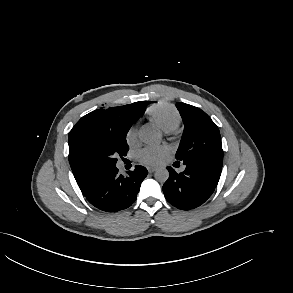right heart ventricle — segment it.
<instances>
[{"instance_id": "1", "label": "right heart ventricle", "mask_w": 293, "mask_h": 293, "mask_svg": "<svg viewBox=\"0 0 293 293\" xmlns=\"http://www.w3.org/2000/svg\"><path fill=\"white\" fill-rule=\"evenodd\" d=\"M150 118L164 131L171 132L179 127L182 118L177 109L169 103H159L148 110Z\"/></svg>"}]
</instances>
